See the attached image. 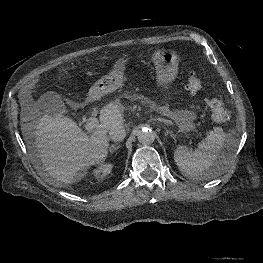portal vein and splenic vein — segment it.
<instances>
[{
  "label": "portal vein and splenic vein",
  "mask_w": 263,
  "mask_h": 263,
  "mask_svg": "<svg viewBox=\"0 0 263 263\" xmlns=\"http://www.w3.org/2000/svg\"><path fill=\"white\" fill-rule=\"evenodd\" d=\"M98 123H99V121H98V119L94 116V115H92L88 120H87V124H86V129L88 130V131H91V130H93L95 127H97L98 126Z\"/></svg>",
  "instance_id": "obj_1"
}]
</instances>
